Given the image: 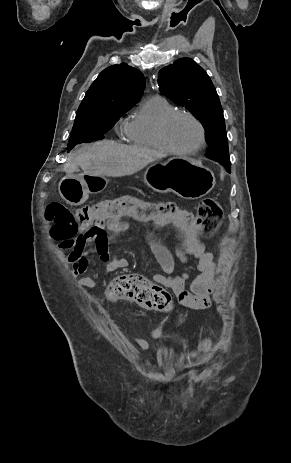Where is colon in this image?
Wrapping results in <instances>:
<instances>
[{"label":"colon","mask_w":291,"mask_h":463,"mask_svg":"<svg viewBox=\"0 0 291 463\" xmlns=\"http://www.w3.org/2000/svg\"><path fill=\"white\" fill-rule=\"evenodd\" d=\"M137 217L156 226H176L180 231L210 234L218 227L222 210L212 198L204 199L193 208L179 205L175 200L151 204L132 197L106 200L75 210L62 203L47 205L45 218L52 223L50 235L64 249H71L81 232L99 227L103 217ZM107 297L112 300L133 299L149 308L170 311L173 301L170 294L157 284L139 275H119L108 286ZM206 344L203 345V348Z\"/></svg>","instance_id":"colon-1"}]
</instances>
